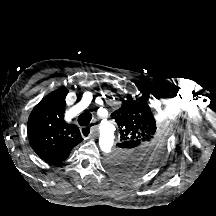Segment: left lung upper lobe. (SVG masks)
Segmentation results:
<instances>
[{
    "mask_svg": "<svg viewBox=\"0 0 216 216\" xmlns=\"http://www.w3.org/2000/svg\"><path fill=\"white\" fill-rule=\"evenodd\" d=\"M111 116L120 142L107 159V168L119 177L134 178L156 166L164 152L163 131L145 97L127 98Z\"/></svg>",
    "mask_w": 216,
    "mask_h": 216,
    "instance_id": "left-lung-upper-lobe-1",
    "label": "left lung upper lobe"
}]
</instances>
